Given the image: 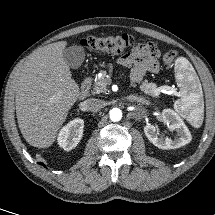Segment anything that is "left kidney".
<instances>
[{
	"mask_svg": "<svg viewBox=\"0 0 215 215\" xmlns=\"http://www.w3.org/2000/svg\"><path fill=\"white\" fill-rule=\"evenodd\" d=\"M162 120L171 130H175L177 132V136L174 139L160 136L156 132V127L154 125L147 124L144 127V132L148 140L153 143V145L160 149L167 150L180 148L190 143L192 140L191 133L175 111L171 109L163 110Z\"/></svg>",
	"mask_w": 215,
	"mask_h": 215,
	"instance_id": "5707ae66",
	"label": "left kidney"
}]
</instances>
